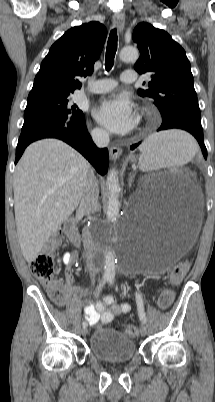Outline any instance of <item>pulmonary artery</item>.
I'll list each match as a JSON object with an SVG mask.
<instances>
[{"instance_id": "obj_1", "label": "pulmonary artery", "mask_w": 215, "mask_h": 402, "mask_svg": "<svg viewBox=\"0 0 215 402\" xmlns=\"http://www.w3.org/2000/svg\"><path fill=\"white\" fill-rule=\"evenodd\" d=\"M121 81L124 83H133L136 81V73L132 70L124 71L121 75ZM117 85L114 79H101L91 83L89 91L92 93H105L112 90Z\"/></svg>"}]
</instances>
